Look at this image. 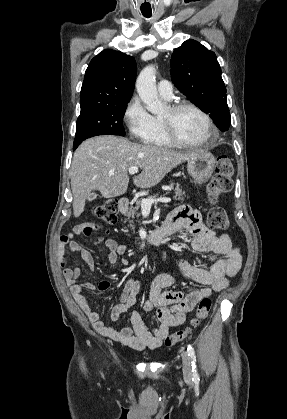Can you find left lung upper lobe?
Listing matches in <instances>:
<instances>
[{
	"instance_id": "1",
	"label": "left lung upper lobe",
	"mask_w": 287,
	"mask_h": 419,
	"mask_svg": "<svg viewBox=\"0 0 287 419\" xmlns=\"http://www.w3.org/2000/svg\"><path fill=\"white\" fill-rule=\"evenodd\" d=\"M171 78L180 92L208 113L221 131L231 118L221 68L214 52L194 40L185 41L171 56Z\"/></svg>"
}]
</instances>
